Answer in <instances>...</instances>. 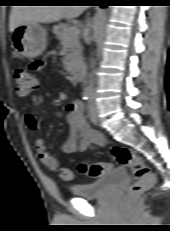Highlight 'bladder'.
<instances>
[{
	"label": "bladder",
	"instance_id": "bladder-1",
	"mask_svg": "<svg viewBox=\"0 0 170 231\" xmlns=\"http://www.w3.org/2000/svg\"><path fill=\"white\" fill-rule=\"evenodd\" d=\"M127 177L128 175L124 168H116L94 182L74 185L70 190L75 196L80 198H100L126 182Z\"/></svg>",
	"mask_w": 170,
	"mask_h": 231
}]
</instances>
